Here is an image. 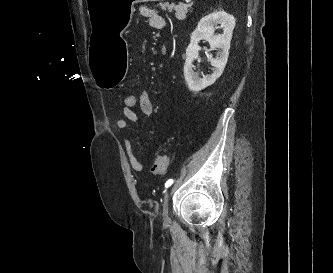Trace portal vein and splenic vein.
I'll return each mask as SVG.
<instances>
[{
  "mask_svg": "<svg viewBox=\"0 0 333 273\" xmlns=\"http://www.w3.org/2000/svg\"><path fill=\"white\" fill-rule=\"evenodd\" d=\"M187 3L191 2V0H185Z\"/></svg>",
  "mask_w": 333,
  "mask_h": 273,
  "instance_id": "1",
  "label": "portal vein and splenic vein"
}]
</instances>
